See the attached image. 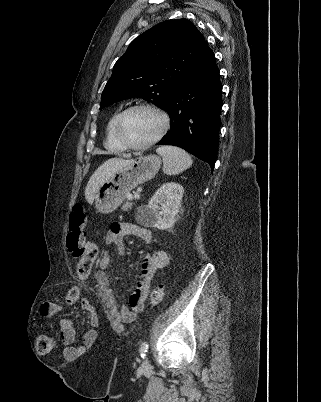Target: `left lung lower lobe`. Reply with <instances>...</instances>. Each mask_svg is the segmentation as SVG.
I'll return each instance as SVG.
<instances>
[{
  "label": "left lung lower lobe",
  "instance_id": "left-lung-lower-lobe-1",
  "mask_svg": "<svg viewBox=\"0 0 321 402\" xmlns=\"http://www.w3.org/2000/svg\"><path fill=\"white\" fill-rule=\"evenodd\" d=\"M222 84L213 51L207 46L169 96L165 110L170 131L157 145L181 147L213 170L219 144Z\"/></svg>",
  "mask_w": 321,
  "mask_h": 402
}]
</instances>
